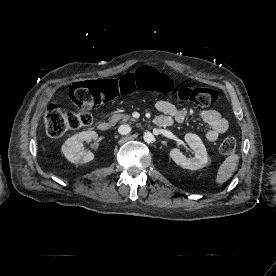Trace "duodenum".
Masks as SVG:
<instances>
[{
    "label": "duodenum",
    "mask_w": 276,
    "mask_h": 276,
    "mask_svg": "<svg viewBox=\"0 0 276 276\" xmlns=\"http://www.w3.org/2000/svg\"><path fill=\"white\" fill-rule=\"evenodd\" d=\"M154 123L157 125V126H160V127H165V126H168V123L165 119L163 118H160V117H157L154 119ZM110 123L107 122V121H100L97 125V128L99 129V131L101 132H107L110 130Z\"/></svg>",
    "instance_id": "410a0bca"
}]
</instances>
